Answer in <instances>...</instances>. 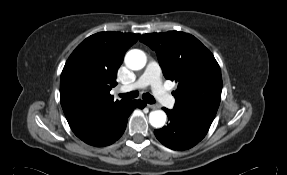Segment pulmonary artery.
I'll use <instances>...</instances> for the list:
<instances>
[{
    "mask_svg": "<svg viewBox=\"0 0 287 175\" xmlns=\"http://www.w3.org/2000/svg\"><path fill=\"white\" fill-rule=\"evenodd\" d=\"M151 86L152 91L156 99L165 106H171L173 104V98L165 89L160 79V67L157 62L150 61L140 76V78L133 84L127 86H121V92H128L135 89L145 88Z\"/></svg>",
    "mask_w": 287,
    "mask_h": 175,
    "instance_id": "e3ab8cb5",
    "label": "pulmonary artery"
}]
</instances>
